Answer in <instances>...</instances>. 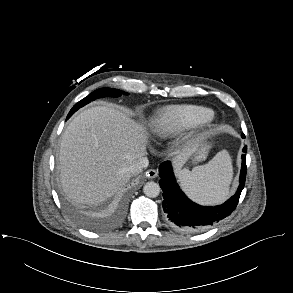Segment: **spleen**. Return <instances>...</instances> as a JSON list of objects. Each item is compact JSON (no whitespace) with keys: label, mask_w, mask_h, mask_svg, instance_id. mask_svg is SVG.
Listing matches in <instances>:
<instances>
[{"label":"spleen","mask_w":293,"mask_h":293,"mask_svg":"<svg viewBox=\"0 0 293 293\" xmlns=\"http://www.w3.org/2000/svg\"><path fill=\"white\" fill-rule=\"evenodd\" d=\"M185 192L201 204H217L229 194L233 168L227 151H220L206 165L195 167L191 172H180Z\"/></svg>","instance_id":"spleen-1"}]
</instances>
